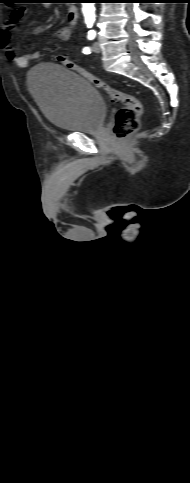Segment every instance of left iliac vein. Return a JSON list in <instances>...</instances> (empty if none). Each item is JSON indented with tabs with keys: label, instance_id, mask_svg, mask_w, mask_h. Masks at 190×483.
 <instances>
[{
	"label": "left iliac vein",
	"instance_id": "left-iliac-vein-1",
	"mask_svg": "<svg viewBox=\"0 0 190 483\" xmlns=\"http://www.w3.org/2000/svg\"><path fill=\"white\" fill-rule=\"evenodd\" d=\"M92 49H93V51H94L95 53H100V52H101V48H100V45H99V43H98V42H95V43L93 44Z\"/></svg>",
	"mask_w": 190,
	"mask_h": 483
}]
</instances>
